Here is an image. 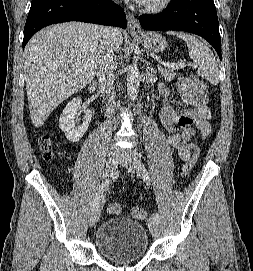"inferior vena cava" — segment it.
Listing matches in <instances>:
<instances>
[{
	"label": "inferior vena cava",
	"instance_id": "1",
	"mask_svg": "<svg viewBox=\"0 0 253 271\" xmlns=\"http://www.w3.org/2000/svg\"><path fill=\"white\" fill-rule=\"evenodd\" d=\"M102 44L99 56V85L106 98L107 114L110 119H113L111 112L115 108V97L111 93L115 80L116 59L113 50L112 40L114 38V29L109 27L101 28ZM110 150L118 152L119 149L113 144Z\"/></svg>",
	"mask_w": 253,
	"mask_h": 271
}]
</instances>
